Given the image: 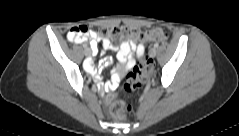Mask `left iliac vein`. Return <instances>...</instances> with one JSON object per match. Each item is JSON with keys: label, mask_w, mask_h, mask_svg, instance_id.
Masks as SVG:
<instances>
[{"label": "left iliac vein", "mask_w": 239, "mask_h": 136, "mask_svg": "<svg viewBox=\"0 0 239 136\" xmlns=\"http://www.w3.org/2000/svg\"><path fill=\"white\" fill-rule=\"evenodd\" d=\"M156 54H157V51H156L155 48H151V49L149 50V56H150V57H155Z\"/></svg>", "instance_id": "1"}]
</instances>
